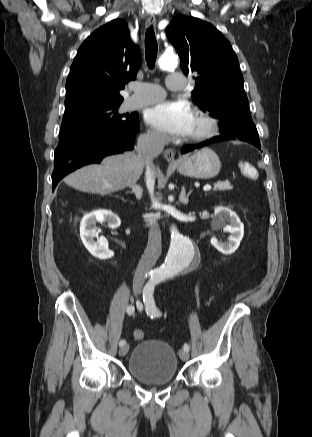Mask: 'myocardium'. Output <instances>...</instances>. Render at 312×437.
<instances>
[{"label":"myocardium","instance_id":"f54148a6","mask_svg":"<svg viewBox=\"0 0 312 437\" xmlns=\"http://www.w3.org/2000/svg\"><path fill=\"white\" fill-rule=\"evenodd\" d=\"M195 119L200 126L195 133L187 138L189 143H199L213 137L218 130V121L211 114L204 111H197Z\"/></svg>","mask_w":312,"mask_h":437}]
</instances>
